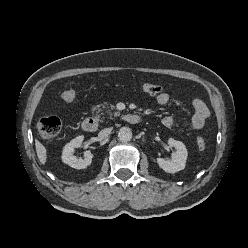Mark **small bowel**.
<instances>
[{
  "label": "small bowel",
  "instance_id": "1",
  "mask_svg": "<svg viewBox=\"0 0 248 248\" xmlns=\"http://www.w3.org/2000/svg\"><path fill=\"white\" fill-rule=\"evenodd\" d=\"M156 100L159 105H167L170 101V95L167 92H163L157 96ZM192 105L194 108V114L190 118L183 121H178L173 116H165L162 119V124L165 127L172 128L180 123L185 127L201 129L210 117L209 108L200 98H195Z\"/></svg>",
  "mask_w": 248,
  "mask_h": 248
}]
</instances>
